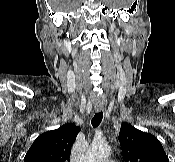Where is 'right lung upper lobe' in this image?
Listing matches in <instances>:
<instances>
[{
    "mask_svg": "<svg viewBox=\"0 0 175 162\" xmlns=\"http://www.w3.org/2000/svg\"><path fill=\"white\" fill-rule=\"evenodd\" d=\"M79 131L80 127L70 123L42 133L26 153L24 162H69L71 147Z\"/></svg>",
    "mask_w": 175,
    "mask_h": 162,
    "instance_id": "obj_1",
    "label": "right lung upper lobe"
}]
</instances>
